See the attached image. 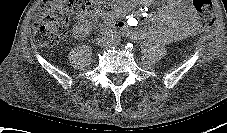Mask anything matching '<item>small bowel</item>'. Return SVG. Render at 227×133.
Segmentation results:
<instances>
[{
  "label": "small bowel",
  "instance_id": "small-bowel-1",
  "mask_svg": "<svg viewBox=\"0 0 227 133\" xmlns=\"http://www.w3.org/2000/svg\"><path fill=\"white\" fill-rule=\"evenodd\" d=\"M142 4H149L152 0H137ZM118 22L128 37L132 39H147L158 43H170L194 34L198 30V22L190 0H168L159 7L155 15L149 18L154 27L135 29L128 23Z\"/></svg>",
  "mask_w": 227,
  "mask_h": 133
}]
</instances>
